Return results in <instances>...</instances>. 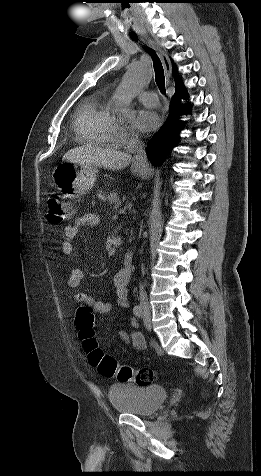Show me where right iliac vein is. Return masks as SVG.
I'll return each instance as SVG.
<instances>
[{
  "mask_svg": "<svg viewBox=\"0 0 261 476\" xmlns=\"http://www.w3.org/2000/svg\"><path fill=\"white\" fill-rule=\"evenodd\" d=\"M146 316L149 318V317H150V313H149V312H146Z\"/></svg>",
  "mask_w": 261,
  "mask_h": 476,
  "instance_id": "right-iliac-vein-1",
  "label": "right iliac vein"
}]
</instances>
